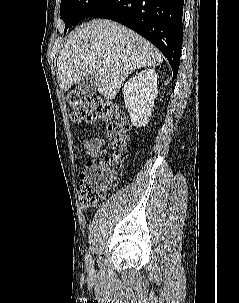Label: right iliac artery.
<instances>
[{"label": "right iliac artery", "mask_w": 239, "mask_h": 303, "mask_svg": "<svg viewBox=\"0 0 239 303\" xmlns=\"http://www.w3.org/2000/svg\"><path fill=\"white\" fill-rule=\"evenodd\" d=\"M85 260H86V265H87L89 272H93L94 267H93V261H92L90 253L86 255Z\"/></svg>", "instance_id": "82829eb1"}]
</instances>
